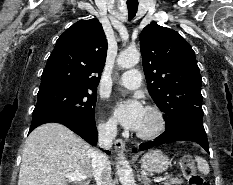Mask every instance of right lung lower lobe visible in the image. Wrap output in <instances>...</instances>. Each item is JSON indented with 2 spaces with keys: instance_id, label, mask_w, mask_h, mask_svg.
Returning <instances> with one entry per match:
<instances>
[{
  "instance_id": "right-lung-lower-lobe-1",
  "label": "right lung lower lobe",
  "mask_w": 233,
  "mask_h": 185,
  "mask_svg": "<svg viewBox=\"0 0 233 185\" xmlns=\"http://www.w3.org/2000/svg\"><path fill=\"white\" fill-rule=\"evenodd\" d=\"M49 122L61 123L81 136L91 145L95 146L97 144V129L95 126V121L89 122L82 118L66 114L39 113L32 115L30 132L39 125ZM105 152L110 154L109 151Z\"/></svg>"
}]
</instances>
